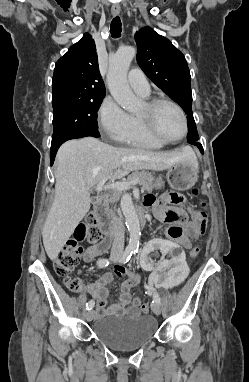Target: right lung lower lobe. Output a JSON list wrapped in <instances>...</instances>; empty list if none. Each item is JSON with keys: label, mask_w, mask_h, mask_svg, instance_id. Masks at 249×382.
Instances as JSON below:
<instances>
[{"label": "right lung lower lobe", "mask_w": 249, "mask_h": 382, "mask_svg": "<svg viewBox=\"0 0 249 382\" xmlns=\"http://www.w3.org/2000/svg\"><path fill=\"white\" fill-rule=\"evenodd\" d=\"M86 136H93V137H100V134L97 133H76V134H71L68 136L63 137L62 139H59L57 141H53L51 144V151H50V159H51V165L54 162V158L56 156L58 148L63 144L65 141L70 140V139H77V138H82Z\"/></svg>", "instance_id": "obj_1"}]
</instances>
